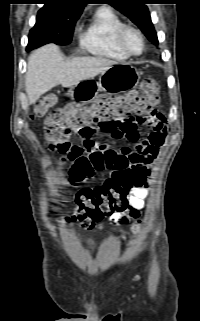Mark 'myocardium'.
<instances>
[{"label": "myocardium", "instance_id": "obj_1", "mask_svg": "<svg viewBox=\"0 0 200 321\" xmlns=\"http://www.w3.org/2000/svg\"><path fill=\"white\" fill-rule=\"evenodd\" d=\"M128 31L136 33L141 41V50L137 53L131 52L125 45V35ZM116 42L119 48L129 57L139 56L144 52L145 49V38L143 33L135 26L130 24H124L121 26L116 34Z\"/></svg>", "mask_w": 200, "mask_h": 321}]
</instances>
